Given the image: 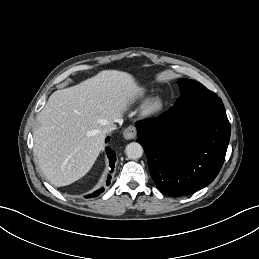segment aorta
I'll use <instances>...</instances> for the list:
<instances>
[{
  "label": "aorta",
  "instance_id": "aorta-1",
  "mask_svg": "<svg viewBox=\"0 0 259 259\" xmlns=\"http://www.w3.org/2000/svg\"><path fill=\"white\" fill-rule=\"evenodd\" d=\"M125 153L129 159L136 160L143 155V148L139 143L131 142L126 146Z\"/></svg>",
  "mask_w": 259,
  "mask_h": 259
}]
</instances>
